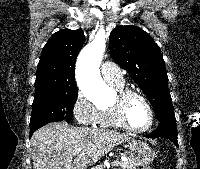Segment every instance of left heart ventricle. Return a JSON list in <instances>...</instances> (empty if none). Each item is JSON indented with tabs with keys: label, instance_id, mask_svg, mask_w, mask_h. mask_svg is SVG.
<instances>
[{
	"label": "left heart ventricle",
	"instance_id": "left-heart-ventricle-1",
	"mask_svg": "<svg viewBox=\"0 0 200 169\" xmlns=\"http://www.w3.org/2000/svg\"><path fill=\"white\" fill-rule=\"evenodd\" d=\"M127 116L129 123L135 128H143L150 121V113L148 107L138 97H133L127 105Z\"/></svg>",
	"mask_w": 200,
	"mask_h": 169
}]
</instances>
